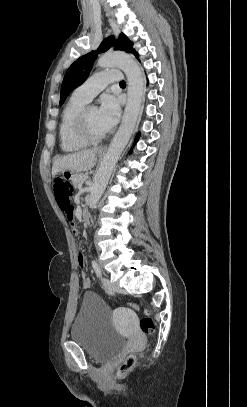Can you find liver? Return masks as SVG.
<instances>
[{"instance_id": "liver-1", "label": "liver", "mask_w": 247, "mask_h": 407, "mask_svg": "<svg viewBox=\"0 0 247 407\" xmlns=\"http://www.w3.org/2000/svg\"><path fill=\"white\" fill-rule=\"evenodd\" d=\"M98 148L71 153L55 159L52 165V176L60 171L82 172L92 169L95 165Z\"/></svg>"}]
</instances>
